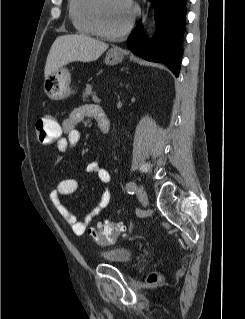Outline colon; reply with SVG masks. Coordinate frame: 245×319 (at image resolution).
Wrapping results in <instances>:
<instances>
[{"mask_svg":"<svg viewBox=\"0 0 245 319\" xmlns=\"http://www.w3.org/2000/svg\"><path fill=\"white\" fill-rule=\"evenodd\" d=\"M37 140L46 145L55 143L61 136L62 128L59 122L50 115L39 117L35 124ZM125 234L123 226L108 220L100 221L95 228L89 230V235L101 244H111ZM156 274L151 275V281H157Z\"/></svg>","mask_w":245,"mask_h":319,"instance_id":"1","label":"colon"}]
</instances>
